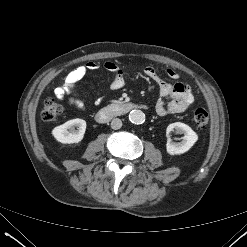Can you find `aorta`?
<instances>
[{
  "mask_svg": "<svg viewBox=\"0 0 247 247\" xmlns=\"http://www.w3.org/2000/svg\"><path fill=\"white\" fill-rule=\"evenodd\" d=\"M129 121L134 125H140L145 122V114L143 111L135 109L129 113Z\"/></svg>",
  "mask_w": 247,
  "mask_h": 247,
  "instance_id": "762f6f07",
  "label": "aorta"
}]
</instances>
